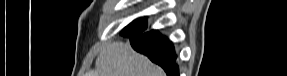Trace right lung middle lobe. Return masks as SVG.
Instances as JSON below:
<instances>
[{"label":"right lung middle lobe","instance_id":"right-lung-middle-lobe-1","mask_svg":"<svg viewBox=\"0 0 287 76\" xmlns=\"http://www.w3.org/2000/svg\"><path fill=\"white\" fill-rule=\"evenodd\" d=\"M147 28L145 18H140L133 21L127 27H125L124 32L122 35L124 36H131V35H138L142 34V32Z\"/></svg>","mask_w":287,"mask_h":76}]
</instances>
